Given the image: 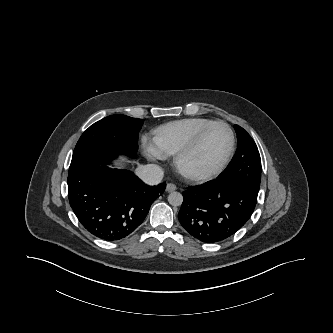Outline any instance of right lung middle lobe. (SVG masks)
<instances>
[{
	"label": "right lung middle lobe",
	"instance_id": "dd1d6c3e",
	"mask_svg": "<svg viewBox=\"0 0 333 333\" xmlns=\"http://www.w3.org/2000/svg\"><path fill=\"white\" fill-rule=\"evenodd\" d=\"M142 124V119L117 114L91 125L76 144L68 174L88 164H107L118 155L135 157Z\"/></svg>",
	"mask_w": 333,
	"mask_h": 333
}]
</instances>
